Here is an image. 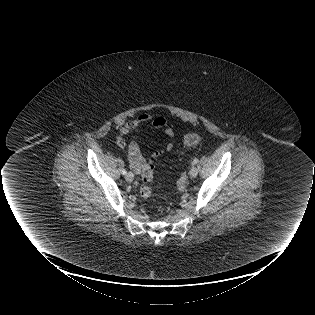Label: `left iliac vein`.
<instances>
[{"label":"left iliac vein","mask_w":315,"mask_h":315,"mask_svg":"<svg viewBox=\"0 0 315 315\" xmlns=\"http://www.w3.org/2000/svg\"><path fill=\"white\" fill-rule=\"evenodd\" d=\"M198 174V168L196 166H192V168L189 171L190 177L194 178Z\"/></svg>","instance_id":"4c4485c4"}]
</instances>
